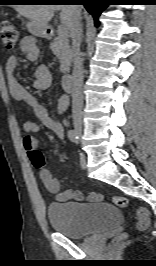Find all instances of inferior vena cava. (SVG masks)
<instances>
[{
    "instance_id": "1",
    "label": "inferior vena cava",
    "mask_w": 156,
    "mask_h": 266,
    "mask_svg": "<svg viewBox=\"0 0 156 266\" xmlns=\"http://www.w3.org/2000/svg\"><path fill=\"white\" fill-rule=\"evenodd\" d=\"M72 23L70 27V36L72 39L73 56V74H72V113L73 121L81 122L83 107V66L80 53V44L82 36L81 9L78 5H72Z\"/></svg>"
}]
</instances>
